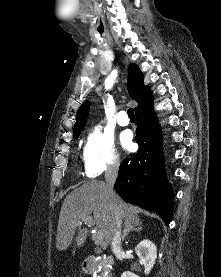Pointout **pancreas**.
<instances>
[{"label": "pancreas", "mask_w": 221, "mask_h": 277, "mask_svg": "<svg viewBox=\"0 0 221 277\" xmlns=\"http://www.w3.org/2000/svg\"><path fill=\"white\" fill-rule=\"evenodd\" d=\"M107 271V268H102L98 277H108Z\"/></svg>", "instance_id": "obj_1"}]
</instances>
